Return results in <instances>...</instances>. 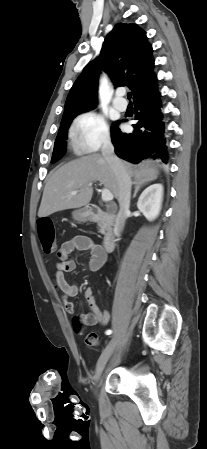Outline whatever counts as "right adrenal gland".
Returning a JSON list of instances; mask_svg holds the SVG:
<instances>
[{
	"label": "right adrenal gland",
	"mask_w": 207,
	"mask_h": 449,
	"mask_svg": "<svg viewBox=\"0 0 207 449\" xmlns=\"http://www.w3.org/2000/svg\"><path fill=\"white\" fill-rule=\"evenodd\" d=\"M134 184H135V191H134V194H133V197L132 198H135L136 197V194H137V192L140 190V188L143 186V184H139V183H137V182H134Z\"/></svg>",
	"instance_id": "right-adrenal-gland-1"
}]
</instances>
